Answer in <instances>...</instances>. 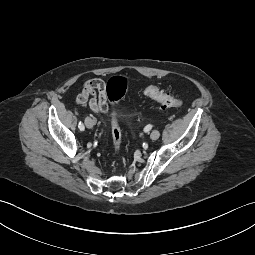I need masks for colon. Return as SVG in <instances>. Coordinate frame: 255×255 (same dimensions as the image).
Segmentation results:
<instances>
[{
	"instance_id": "1",
	"label": "colon",
	"mask_w": 255,
	"mask_h": 255,
	"mask_svg": "<svg viewBox=\"0 0 255 255\" xmlns=\"http://www.w3.org/2000/svg\"><path fill=\"white\" fill-rule=\"evenodd\" d=\"M128 87V81L122 76H114L107 83V94L112 102H118L125 94ZM144 93L149 98L159 102L163 107H179L182 105V100L173 97L155 85H149L145 88ZM111 133L114 149L119 152L122 145L121 130L118 123V119L114 114L111 123Z\"/></svg>"
}]
</instances>
